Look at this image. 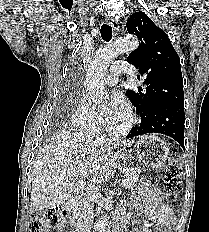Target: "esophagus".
Wrapping results in <instances>:
<instances>
[{
	"label": "esophagus",
	"mask_w": 209,
	"mask_h": 232,
	"mask_svg": "<svg viewBox=\"0 0 209 232\" xmlns=\"http://www.w3.org/2000/svg\"><path fill=\"white\" fill-rule=\"evenodd\" d=\"M106 22L115 30V31H119L120 30V27H119V23L117 20L113 19V18H110V17H107L106 18Z\"/></svg>",
	"instance_id": "1"
}]
</instances>
